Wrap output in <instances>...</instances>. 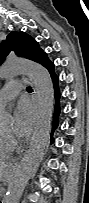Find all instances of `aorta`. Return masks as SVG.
<instances>
[{
    "label": "aorta",
    "instance_id": "1",
    "mask_svg": "<svg viewBox=\"0 0 89 203\" xmlns=\"http://www.w3.org/2000/svg\"><path fill=\"white\" fill-rule=\"evenodd\" d=\"M24 74L32 78L36 87L38 116L30 147L9 181L3 203H19L26 184L47 147L51 131L54 89L48 70L33 61L14 58L7 60L0 71L2 79H10ZM11 122V113L6 109H2L0 111V126L6 128Z\"/></svg>",
    "mask_w": 89,
    "mask_h": 203
}]
</instances>
